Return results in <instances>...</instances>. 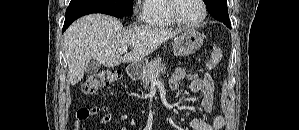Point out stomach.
<instances>
[{
	"label": "stomach",
	"mask_w": 299,
	"mask_h": 130,
	"mask_svg": "<svg viewBox=\"0 0 299 130\" xmlns=\"http://www.w3.org/2000/svg\"><path fill=\"white\" fill-rule=\"evenodd\" d=\"M205 36L195 29H187L174 40L172 52L176 56H186L195 53L203 44ZM148 65L147 59H141L128 66L131 72H140Z\"/></svg>",
	"instance_id": "0dacf381"
}]
</instances>
